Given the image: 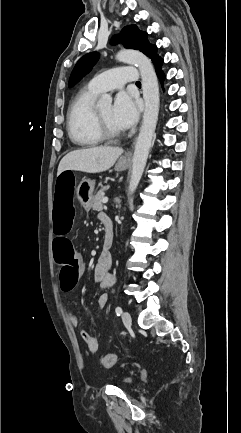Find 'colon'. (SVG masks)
Here are the masks:
<instances>
[{
	"instance_id": "1",
	"label": "colon",
	"mask_w": 241,
	"mask_h": 433,
	"mask_svg": "<svg viewBox=\"0 0 241 433\" xmlns=\"http://www.w3.org/2000/svg\"><path fill=\"white\" fill-rule=\"evenodd\" d=\"M67 170H70V167H67ZM62 171H65V168H62ZM74 178V172L58 173L52 201L56 233V237L52 241V251L55 252V259L61 266V286L64 291L73 289L79 269V257L68 234L73 225L72 216L74 210L73 207H70V203L72 201L71 195H74L75 192ZM115 362L116 356L112 353H108L101 358V364L106 368L112 367Z\"/></svg>"
}]
</instances>
